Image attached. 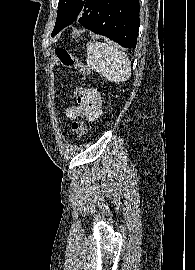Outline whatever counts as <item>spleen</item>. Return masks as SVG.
Wrapping results in <instances>:
<instances>
[{
	"mask_svg": "<svg viewBox=\"0 0 195 270\" xmlns=\"http://www.w3.org/2000/svg\"><path fill=\"white\" fill-rule=\"evenodd\" d=\"M86 61L90 69L111 82H124L131 76V62L117 46L97 41L89 42Z\"/></svg>",
	"mask_w": 195,
	"mask_h": 270,
	"instance_id": "obj_1",
	"label": "spleen"
}]
</instances>
